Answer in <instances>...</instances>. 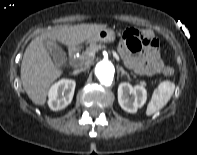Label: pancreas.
Listing matches in <instances>:
<instances>
[{"label": "pancreas", "mask_w": 197, "mask_h": 155, "mask_svg": "<svg viewBox=\"0 0 197 155\" xmlns=\"http://www.w3.org/2000/svg\"><path fill=\"white\" fill-rule=\"evenodd\" d=\"M101 48H102L101 45H97L95 43L90 44V46L87 47L86 50L80 55V57H79L80 63L81 64H86V63L90 62L94 53L97 52L98 50H100ZM140 84L142 86H145L146 82L145 81H140Z\"/></svg>", "instance_id": "cf45deb5"}]
</instances>
